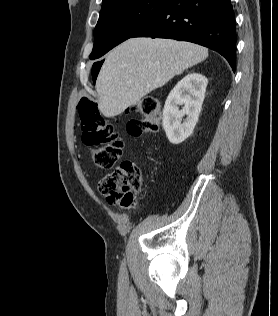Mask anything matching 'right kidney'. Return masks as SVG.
I'll return each instance as SVG.
<instances>
[{"mask_svg": "<svg viewBox=\"0 0 278 316\" xmlns=\"http://www.w3.org/2000/svg\"><path fill=\"white\" fill-rule=\"evenodd\" d=\"M208 80L200 73L186 75L170 92L163 110V128L170 143L188 138L198 121ZM184 104L182 110L178 105ZM187 116L183 123L181 119Z\"/></svg>", "mask_w": 278, "mask_h": 316, "instance_id": "1", "label": "right kidney"}]
</instances>
